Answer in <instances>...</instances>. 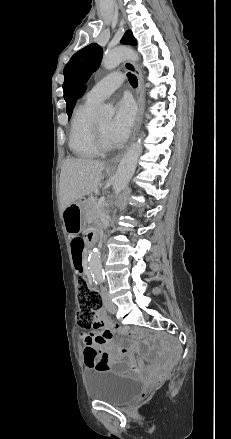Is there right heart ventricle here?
Segmentation results:
<instances>
[{"instance_id":"e07e8e85","label":"right heart ventricle","mask_w":231,"mask_h":439,"mask_svg":"<svg viewBox=\"0 0 231 439\" xmlns=\"http://www.w3.org/2000/svg\"><path fill=\"white\" fill-rule=\"evenodd\" d=\"M97 102L86 99L73 112L68 136L70 151L81 159H91L99 154L94 142L93 109Z\"/></svg>"}]
</instances>
